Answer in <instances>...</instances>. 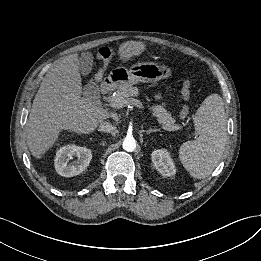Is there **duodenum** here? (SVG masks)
<instances>
[{
	"label": "duodenum",
	"instance_id": "1",
	"mask_svg": "<svg viewBox=\"0 0 261 261\" xmlns=\"http://www.w3.org/2000/svg\"><path fill=\"white\" fill-rule=\"evenodd\" d=\"M100 90H101L102 95H107L112 90V85L110 84V82L107 79H104L101 81Z\"/></svg>",
	"mask_w": 261,
	"mask_h": 261
}]
</instances>
